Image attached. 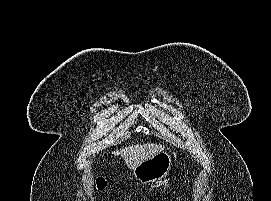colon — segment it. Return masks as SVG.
Here are the masks:
<instances>
[{
  "instance_id": "5ec220e1",
  "label": "colon",
  "mask_w": 271,
  "mask_h": 201,
  "mask_svg": "<svg viewBox=\"0 0 271 201\" xmlns=\"http://www.w3.org/2000/svg\"><path fill=\"white\" fill-rule=\"evenodd\" d=\"M99 189H102L104 187V182L103 181H99L97 184Z\"/></svg>"
}]
</instances>
